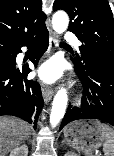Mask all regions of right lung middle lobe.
Segmentation results:
<instances>
[{"label": "right lung middle lobe", "mask_w": 114, "mask_h": 156, "mask_svg": "<svg viewBox=\"0 0 114 156\" xmlns=\"http://www.w3.org/2000/svg\"><path fill=\"white\" fill-rule=\"evenodd\" d=\"M16 64V58L7 46L0 45V70L9 69Z\"/></svg>", "instance_id": "dd1d6c3e"}]
</instances>
